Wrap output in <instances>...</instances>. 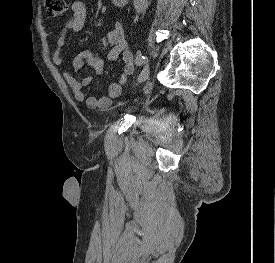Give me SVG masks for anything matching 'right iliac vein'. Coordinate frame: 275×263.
Wrapping results in <instances>:
<instances>
[{
    "instance_id": "63e3f726",
    "label": "right iliac vein",
    "mask_w": 275,
    "mask_h": 263,
    "mask_svg": "<svg viewBox=\"0 0 275 263\" xmlns=\"http://www.w3.org/2000/svg\"><path fill=\"white\" fill-rule=\"evenodd\" d=\"M149 77V66L146 65L138 77V82H143Z\"/></svg>"
}]
</instances>
